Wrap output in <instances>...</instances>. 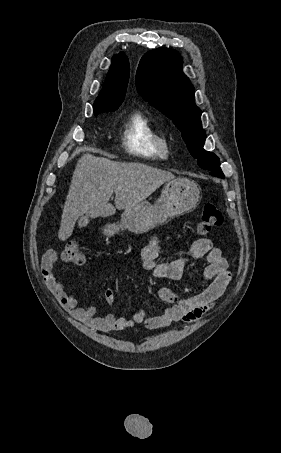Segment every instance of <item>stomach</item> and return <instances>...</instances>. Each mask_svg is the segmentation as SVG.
Segmentation results:
<instances>
[{"mask_svg": "<svg viewBox=\"0 0 281 453\" xmlns=\"http://www.w3.org/2000/svg\"><path fill=\"white\" fill-rule=\"evenodd\" d=\"M201 188L190 178H172L165 182L159 198L154 204L148 200L137 202L131 208H125L120 224H106L104 235L112 237L119 229H128L130 233L143 235L157 224H165L173 216H180L196 208L201 200Z\"/></svg>", "mask_w": 281, "mask_h": 453, "instance_id": "0dacf381", "label": "stomach"}]
</instances>
